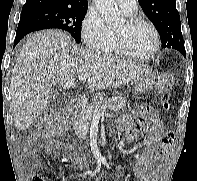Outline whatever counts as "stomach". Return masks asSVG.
<instances>
[{"label":"stomach","mask_w":197,"mask_h":181,"mask_svg":"<svg viewBox=\"0 0 197 181\" xmlns=\"http://www.w3.org/2000/svg\"><path fill=\"white\" fill-rule=\"evenodd\" d=\"M156 74L151 69L144 70L134 80V92L145 93L151 89L155 83Z\"/></svg>","instance_id":"1"}]
</instances>
